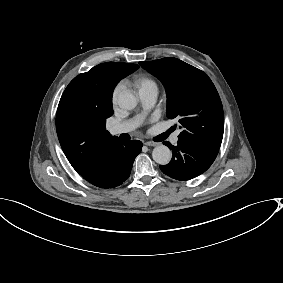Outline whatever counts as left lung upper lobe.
<instances>
[{
  "label": "left lung upper lobe",
  "mask_w": 283,
  "mask_h": 283,
  "mask_svg": "<svg viewBox=\"0 0 283 283\" xmlns=\"http://www.w3.org/2000/svg\"><path fill=\"white\" fill-rule=\"evenodd\" d=\"M165 86L166 115L177 118L183 131L178 139L219 150L224 113L219 94L201 70L173 57L139 62Z\"/></svg>",
  "instance_id": "5c2ea615"
}]
</instances>
